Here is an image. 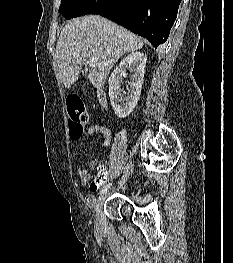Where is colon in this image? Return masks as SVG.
<instances>
[{"mask_svg": "<svg viewBox=\"0 0 233 263\" xmlns=\"http://www.w3.org/2000/svg\"><path fill=\"white\" fill-rule=\"evenodd\" d=\"M67 112L69 117V134L73 140L79 139L85 131L89 123L90 116L86 105L79 97H71L67 101ZM107 171H96L94 182L90 185L91 189H96L97 192L103 194L104 184L109 183L110 175Z\"/></svg>", "mask_w": 233, "mask_h": 263, "instance_id": "colon-1", "label": "colon"}]
</instances>
